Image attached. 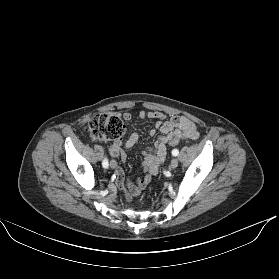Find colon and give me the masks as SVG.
<instances>
[{"instance_id": "5ec220e1", "label": "colon", "mask_w": 279, "mask_h": 279, "mask_svg": "<svg viewBox=\"0 0 279 279\" xmlns=\"http://www.w3.org/2000/svg\"><path fill=\"white\" fill-rule=\"evenodd\" d=\"M86 131L97 141L100 140H117L125 132V125L121 119L113 114L99 113L92 117L86 126ZM188 139L182 137H172L168 144L171 146L186 142Z\"/></svg>"}]
</instances>
